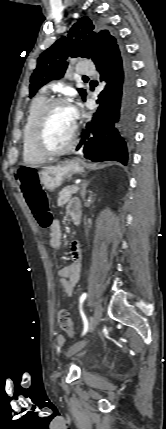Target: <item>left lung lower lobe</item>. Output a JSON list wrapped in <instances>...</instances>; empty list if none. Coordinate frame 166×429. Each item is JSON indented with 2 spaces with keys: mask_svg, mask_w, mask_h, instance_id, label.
Here are the masks:
<instances>
[{
  "mask_svg": "<svg viewBox=\"0 0 166 429\" xmlns=\"http://www.w3.org/2000/svg\"><path fill=\"white\" fill-rule=\"evenodd\" d=\"M93 61L106 85L96 101L97 112L83 129L76 150L82 148L85 158L93 162L115 160L126 165L137 107L132 65L118 39L109 44L99 42Z\"/></svg>",
  "mask_w": 166,
  "mask_h": 429,
  "instance_id": "0a47b994",
  "label": "left lung lower lobe"
}]
</instances>
